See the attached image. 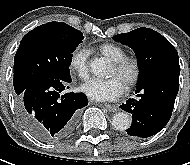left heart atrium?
Returning a JSON list of instances; mask_svg holds the SVG:
<instances>
[{
    "label": "left heart atrium",
    "instance_id": "1",
    "mask_svg": "<svg viewBox=\"0 0 190 165\" xmlns=\"http://www.w3.org/2000/svg\"><path fill=\"white\" fill-rule=\"evenodd\" d=\"M81 91L97 101H112L124 92V84L117 77L106 80L93 79L81 86Z\"/></svg>",
    "mask_w": 190,
    "mask_h": 165
}]
</instances>
